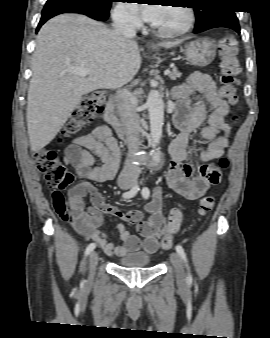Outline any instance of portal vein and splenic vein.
Listing matches in <instances>:
<instances>
[{
    "instance_id": "portal-vein-and-splenic-vein-1",
    "label": "portal vein and splenic vein",
    "mask_w": 270,
    "mask_h": 338,
    "mask_svg": "<svg viewBox=\"0 0 270 338\" xmlns=\"http://www.w3.org/2000/svg\"><path fill=\"white\" fill-rule=\"evenodd\" d=\"M67 72L74 73L75 75H78L80 77H85L89 74V70L83 67H78V68H69L66 70ZM170 70L167 69L164 71V75H169Z\"/></svg>"
}]
</instances>
